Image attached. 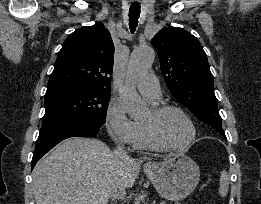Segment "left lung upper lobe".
Listing matches in <instances>:
<instances>
[{
	"label": "left lung upper lobe",
	"instance_id": "obj_1",
	"mask_svg": "<svg viewBox=\"0 0 261 204\" xmlns=\"http://www.w3.org/2000/svg\"><path fill=\"white\" fill-rule=\"evenodd\" d=\"M171 94L226 139L214 94L213 75L198 39L182 28L160 30L151 40Z\"/></svg>",
	"mask_w": 261,
	"mask_h": 204
}]
</instances>
